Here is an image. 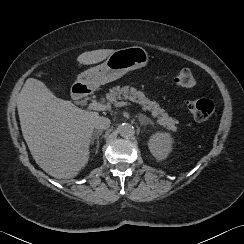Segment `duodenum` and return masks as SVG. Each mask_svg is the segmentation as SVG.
<instances>
[{"mask_svg": "<svg viewBox=\"0 0 244 244\" xmlns=\"http://www.w3.org/2000/svg\"><path fill=\"white\" fill-rule=\"evenodd\" d=\"M90 90L88 89L87 86L83 84H76L73 87V96L76 100H86L87 97L89 96L88 92Z\"/></svg>", "mask_w": 244, "mask_h": 244, "instance_id": "410a0bca", "label": "duodenum"}]
</instances>
